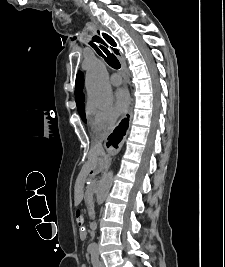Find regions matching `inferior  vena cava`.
Segmentation results:
<instances>
[{
    "label": "inferior vena cava",
    "instance_id": "obj_1",
    "mask_svg": "<svg viewBox=\"0 0 225 267\" xmlns=\"http://www.w3.org/2000/svg\"><path fill=\"white\" fill-rule=\"evenodd\" d=\"M106 136H107V133H104L102 139H105ZM98 144L101 145V141Z\"/></svg>",
    "mask_w": 225,
    "mask_h": 267
}]
</instances>
